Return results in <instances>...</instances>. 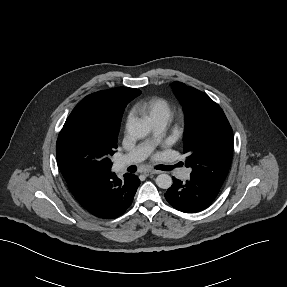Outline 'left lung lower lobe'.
<instances>
[{
  "label": "left lung lower lobe",
  "mask_w": 287,
  "mask_h": 287,
  "mask_svg": "<svg viewBox=\"0 0 287 287\" xmlns=\"http://www.w3.org/2000/svg\"><path fill=\"white\" fill-rule=\"evenodd\" d=\"M173 180L165 198L175 209L185 213H195L207 208L221 188L195 175H190L186 182L175 177Z\"/></svg>",
  "instance_id": "1"
}]
</instances>
